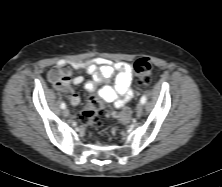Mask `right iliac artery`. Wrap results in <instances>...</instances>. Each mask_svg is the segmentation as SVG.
<instances>
[{
    "label": "right iliac artery",
    "instance_id": "82829eb1",
    "mask_svg": "<svg viewBox=\"0 0 222 187\" xmlns=\"http://www.w3.org/2000/svg\"><path fill=\"white\" fill-rule=\"evenodd\" d=\"M60 107H61L62 109H65V108H66L65 103H61Z\"/></svg>",
    "mask_w": 222,
    "mask_h": 187
}]
</instances>
